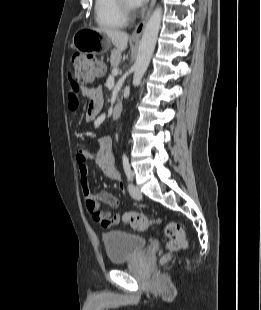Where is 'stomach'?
I'll list each match as a JSON object with an SVG mask.
<instances>
[{"instance_id":"1","label":"stomach","mask_w":261,"mask_h":310,"mask_svg":"<svg viewBox=\"0 0 261 310\" xmlns=\"http://www.w3.org/2000/svg\"><path fill=\"white\" fill-rule=\"evenodd\" d=\"M75 49L80 51H93L103 54L110 47V40L106 34L93 29H82L77 31L72 40Z\"/></svg>"}]
</instances>
